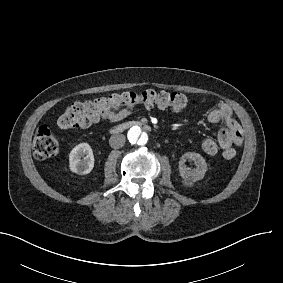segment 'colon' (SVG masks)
Wrapping results in <instances>:
<instances>
[{
  "label": "colon",
  "instance_id": "5ec220e1",
  "mask_svg": "<svg viewBox=\"0 0 283 283\" xmlns=\"http://www.w3.org/2000/svg\"><path fill=\"white\" fill-rule=\"evenodd\" d=\"M146 107H171L183 109L194 105V100L189 99L183 93H170L166 91L145 90L141 93L124 92L109 97H98L89 101L75 103L63 112L58 120V126L63 129H75L99 120L102 116L110 113H120L123 110H131L137 104ZM33 152L36 158L44 160L53 156L58 148L59 142L53 132L43 127L39 129L32 142ZM203 152L209 155L217 154L220 150L219 144L212 138H204L201 142Z\"/></svg>",
  "mask_w": 283,
  "mask_h": 283
}]
</instances>
